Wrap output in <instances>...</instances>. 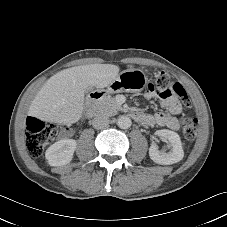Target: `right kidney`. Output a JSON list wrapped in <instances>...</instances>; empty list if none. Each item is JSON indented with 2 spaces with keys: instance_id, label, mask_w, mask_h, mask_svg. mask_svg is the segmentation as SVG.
<instances>
[{
  "instance_id": "obj_1",
  "label": "right kidney",
  "mask_w": 227,
  "mask_h": 227,
  "mask_svg": "<svg viewBox=\"0 0 227 227\" xmlns=\"http://www.w3.org/2000/svg\"><path fill=\"white\" fill-rule=\"evenodd\" d=\"M77 143L74 139H62L52 144L45 153L50 166H62L68 164L76 149Z\"/></svg>"
}]
</instances>
